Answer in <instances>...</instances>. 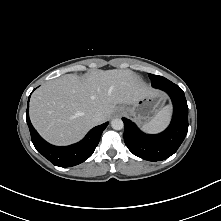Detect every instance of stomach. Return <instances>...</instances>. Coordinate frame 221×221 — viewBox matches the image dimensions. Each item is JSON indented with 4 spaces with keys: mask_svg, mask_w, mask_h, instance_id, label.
Masks as SVG:
<instances>
[{
    "mask_svg": "<svg viewBox=\"0 0 221 221\" xmlns=\"http://www.w3.org/2000/svg\"><path fill=\"white\" fill-rule=\"evenodd\" d=\"M163 102L164 96L160 93L153 92L138 99L132 105H123L120 106L119 109L133 116L137 123L146 124L159 112Z\"/></svg>",
    "mask_w": 221,
    "mask_h": 221,
    "instance_id": "0dacf381",
    "label": "stomach"
}]
</instances>
